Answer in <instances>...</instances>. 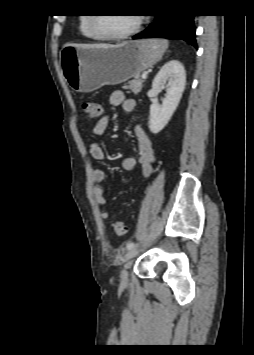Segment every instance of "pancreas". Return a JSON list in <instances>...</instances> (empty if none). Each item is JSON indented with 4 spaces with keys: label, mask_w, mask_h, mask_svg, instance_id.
<instances>
[{
    "label": "pancreas",
    "mask_w": 254,
    "mask_h": 355,
    "mask_svg": "<svg viewBox=\"0 0 254 355\" xmlns=\"http://www.w3.org/2000/svg\"><path fill=\"white\" fill-rule=\"evenodd\" d=\"M143 80L136 76L135 79L129 81L123 86L124 89L132 91L134 94H138L142 89Z\"/></svg>",
    "instance_id": "cf45deb5"
}]
</instances>
